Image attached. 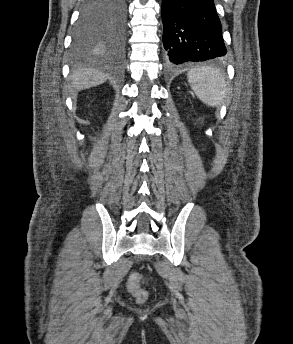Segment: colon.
Returning a JSON list of instances; mask_svg holds the SVG:
<instances>
[{
	"mask_svg": "<svg viewBox=\"0 0 293 344\" xmlns=\"http://www.w3.org/2000/svg\"><path fill=\"white\" fill-rule=\"evenodd\" d=\"M141 275L140 274H133L131 275L129 282H128V289L135 297L138 303H143L147 300L148 293L147 291L141 287Z\"/></svg>",
	"mask_w": 293,
	"mask_h": 344,
	"instance_id": "obj_1",
	"label": "colon"
}]
</instances>
